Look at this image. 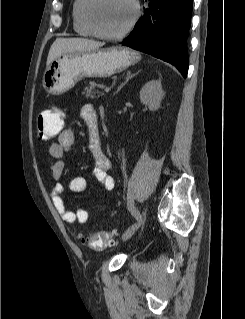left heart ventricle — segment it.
Here are the masks:
<instances>
[{"instance_id": "b2bd125f", "label": "left heart ventricle", "mask_w": 245, "mask_h": 319, "mask_svg": "<svg viewBox=\"0 0 245 319\" xmlns=\"http://www.w3.org/2000/svg\"><path fill=\"white\" fill-rule=\"evenodd\" d=\"M133 8L129 0H99L94 8L98 26L107 33H117L130 22Z\"/></svg>"}]
</instances>
